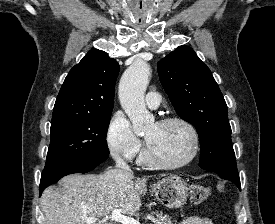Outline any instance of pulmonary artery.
<instances>
[{
	"mask_svg": "<svg viewBox=\"0 0 275 224\" xmlns=\"http://www.w3.org/2000/svg\"><path fill=\"white\" fill-rule=\"evenodd\" d=\"M161 102L160 95L157 92H149L146 96V105L149 108H158Z\"/></svg>",
	"mask_w": 275,
	"mask_h": 224,
	"instance_id": "pulmonary-artery-1",
	"label": "pulmonary artery"
}]
</instances>
